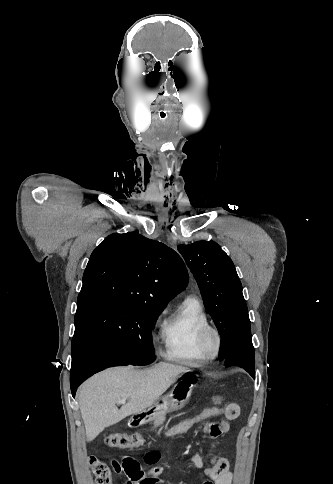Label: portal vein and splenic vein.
Masks as SVG:
<instances>
[{
	"instance_id": "1",
	"label": "portal vein and splenic vein",
	"mask_w": 333,
	"mask_h": 484,
	"mask_svg": "<svg viewBox=\"0 0 333 484\" xmlns=\"http://www.w3.org/2000/svg\"><path fill=\"white\" fill-rule=\"evenodd\" d=\"M117 403H118V404H125V403H126V400H125V399H120V400H118V402H117Z\"/></svg>"
}]
</instances>
